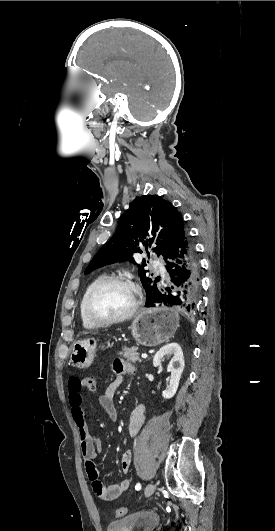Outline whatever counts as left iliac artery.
<instances>
[{
    "mask_svg": "<svg viewBox=\"0 0 275 531\" xmlns=\"http://www.w3.org/2000/svg\"><path fill=\"white\" fill-rule=\"evenodd\" d=\"M135 489H136L137 491H139V490L141 489V484H140V483H137L136 486H135Z\"/></svg>",
    "mask_w": 275,
    "mask_h": 531,
    "instance_id": "1",
    "label": "left iliac artery"
}]
</instances>
